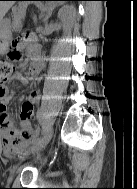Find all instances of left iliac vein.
<instances>
[{
    "mask_svg": "<svg viewBox=\"0 0 137 189\" xmlns=\"http://www.w3.org/2000/svg\"><path fill=\"white\" fill-rule=\"evenodd\" d=\"M52 134H53V128L50 127V128L47 130V132L45 133V135L43 136V138L40 139V141H39L38 143H36V145H35L33 148H31V149L27 152L26 156H28V155H30V154H34V153L40 151L41 149H43V148L50 142V140H51V138H52ZM26 156H25V157H26ZM25 157H23V158L21 159V161L24 160ZM17 170H18V165H15V166L11 169V171H10V177H9V179H8L9 182H11V181L13 180L14 175L16 174Z\"/></svg>",
    "mask_w": 137,
    "mask_h": 189,
    "instance_id": "obj_1",
    "label": "left iliac vein"
}]
</instances>
